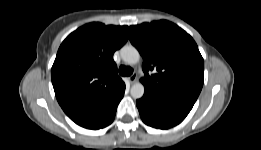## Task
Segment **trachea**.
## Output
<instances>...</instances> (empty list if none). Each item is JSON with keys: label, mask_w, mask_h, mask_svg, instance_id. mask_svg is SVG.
I'll use <instances>...</instances> for the list:
<instances>
[{"label": "trachea", "mask_w": 261, "mask_h": 150, "mask_svg": "<svg viewBox=\"0 0 261 150\" xmlns=\"http://www.w3.org/2000/svg\"><path fill=\"white\" fill-rule=\"evenodd\" d=\"M119 74L122 76H130L133 74V69L129 66L121 65L119 67Z\"/></svg>", "instance_id": "1"}]
</instances>
